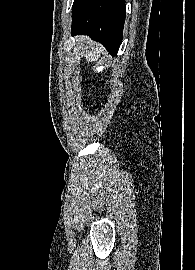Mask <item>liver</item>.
<instances>
[{"mask_svg": "<svg viewBox=\"0 0 195 270\" xmlns=\"http://www.w3.org/2000/svg\"><path fill=\"white\" fill-rule=\"evenodd\" d=\"M77 46H80L81 49L86 47L85 59L88 63L97 61L101 54L105 53V49L100 44L89 41V39L85 37L77 39Z\"/></svg>", "mask_w": 195, "mask_h": 270, "instance_id": "6515ba94", "label": "liver"}]
</instances>
